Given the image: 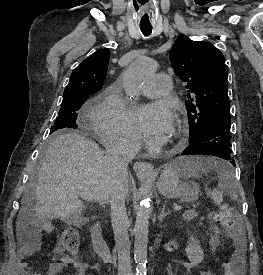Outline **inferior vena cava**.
Here are the masks:
<instances>
[{
  "label": "inferior vena cava",
  "instance_id": "inferior-vena-cava-1",
  "mask_svg": "<svg viewBox=\"0 0 263 275\" xmlns=\"http://www.w3.org/2000/svg\"><path fill=\"white\" fill-rule=\"evenodd\" d=\"M135 151L125 141L114 142L107 146L106 159L111 168L114 188L110 197L111 222L118 253V275H132L130 264V240L128 235L129 219L125 198L128 192V163L134 158Z\"/></svg>",
  "mask_w": 263,
  "mask_h": 275
}]
</instances>
